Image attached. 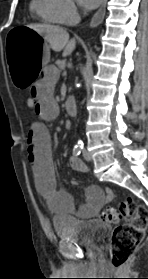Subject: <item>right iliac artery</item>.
I'll return each instance as SVG.
<instances>
[{"instance_id":"obj_1","label":"right iliac artery","mask_w":148,"mask_h":279,"mask_svg":"<svg viewBox=\"0 0 148 279\" xmlns=\"http://www.w3.org/2000/svg\"><path fill=\"white\" fill-rule=\"evenodd\" d=\"M82 146H75L74 148H73V154L75 155V156H78L80 153H81V151H82Z\"/></svg>"}]
</instances>
